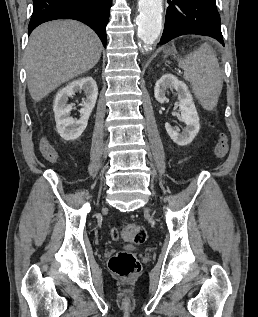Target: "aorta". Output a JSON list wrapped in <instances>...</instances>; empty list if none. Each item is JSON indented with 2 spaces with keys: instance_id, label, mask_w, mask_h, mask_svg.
<instances>
[{
  "instance_id": "obj_1",
  "label": "aorta",
  "mask_w": 258,
  "mask_h": 317,
  "mask_svg": "<svg viewBox=\"0 0 258 317\" xmlns=\"http://www.w3.org/2000/svg\"><path fill=\"white\" fill-rule=\"evenodd\" d=\"M138 10L137 36L144 43L145 50H149L162 29V0H139Z\"/></svg>"
}]
</instances>
